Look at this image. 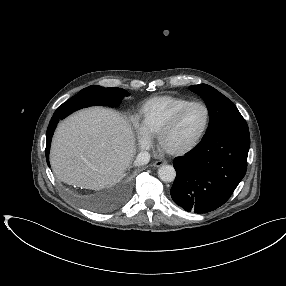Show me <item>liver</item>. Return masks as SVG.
<instances>
[{
    "mask_svg": "<svg viewBox=\"0 0 286 286\" xmlns=\"http://www.w3.org/2000/svg\"><path fill=\"white\" fill-rule=\"evenodd\" d=\"M135 152L129 123L114 110L93 107L59 124L52 139L50 163L59 180L99 190L123 176Z\"/></svg>",
    "mask_w": 286,
    "mask_h": 286,
    "instance_id": "obj_1",
    "label": "liver"
}]
</instances>
